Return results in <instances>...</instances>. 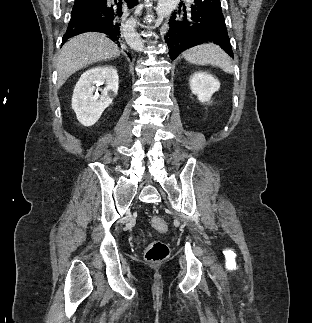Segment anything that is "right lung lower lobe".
Here are the masks:
<instances>
[{
    "label": "right lung lower lobe",
    "mask_w": 312,
    "mask_h": 323,
    "mask_svg": "<svg viewBox=\"0 0 312 323\" xmlns=\"http://www.w3.org/2000/svg\"><path fill=\"white\" fill-rule=\"evenodd\" d=\"M113 1L107 3V0H75L62 45L70 37L91 31L107 34L120 47L127 13L138 0Z\"/></svg>",
    "instance_id": "98d812e1"
}]
</instances>
